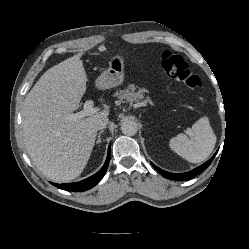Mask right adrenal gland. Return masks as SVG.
<instances>
[{
	"label": "right adrenal gland",
	"instance_id": "1",
	"mask_svg": "<svg viewBox=\"0 0 249 249\" xmlns=\"http://www.w3.org/2000/svg\"><path fill=\"white\" fill-rule=\"evenodd\" d=\"M104 132V130H101L99 133H98V139L96 141V144H99L101 143V134Z\"/></svg>",
	"mask_w": 249,
	"mask_h": 249
}]
</instances>
